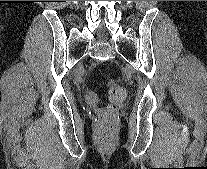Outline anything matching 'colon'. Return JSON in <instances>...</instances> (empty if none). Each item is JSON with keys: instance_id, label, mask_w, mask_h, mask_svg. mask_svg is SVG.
<instances>
[{"instance_id": "obj_1", "label": "colon", "mask_w": 207, "mask_h": 169, "mask_svg": "<svg viewBox=\"0 0 207 169\" xmlns=\"http://www.w3.org/2000/svg\"><path fill=\"white\" fill-rule=\"evenodd\" d=\"M108 97L111 104L101 111L97 122V135L103 141H109L114 136L117 105L124 101L126 92L119 84L111 81L108 84Z\"/></svg>"}]
</instances>
